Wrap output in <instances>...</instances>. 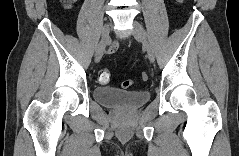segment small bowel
Masks as SVG:
<instances>
[{
	"mask_svg": "<svg viewBox=\"0 0 239 156\" xmlns=\"http://www.w3.org/2000/svg\"><path fill=\"white\" fill-rule=\"evenodd\" d=\"M119 48V43L115 41L109 48V53H115Z\"/></svg>",
	"mask_w": 239,
	"mask_h": 156,
	"instance_id": "1",
	"label": "small bowel"
}]
</instances>
